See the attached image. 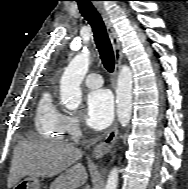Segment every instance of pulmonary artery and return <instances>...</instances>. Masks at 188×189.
<instances>
[{
    "label": "pulmonary artery",
    "instance_id": "obj_1",
    "mask_svg": "<svg viewBox=\"0 0 188 189\" xmlns=\"http://www.w3.org/2000/svg\"><path fill=\"white\" fill-rule=\"evenodd\" d=\"M84 83L89 88H98L102 86L103 79L102 77L97 73H90L84 78Z\"/></svg>",
    "mask_w": 188,
    "mask_h": 189
}]
</instances>
